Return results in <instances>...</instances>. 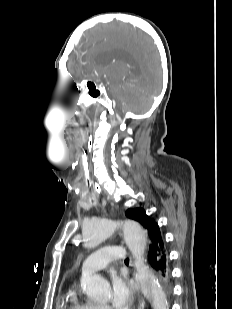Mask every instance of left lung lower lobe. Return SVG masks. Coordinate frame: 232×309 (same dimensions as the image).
Returning <instances> with one entry per match:
<instances>
[{
  "label": "left lung lower lobe",
  "instance_id": "0a47b994",
  "mask_svg": "<svg viewBox=\"0 0 232 309\" xmlns=\"http://www.w3.org/2000/svg\"><path fill=\"white\" fill-rule=\"evenodd\" d=\"M148 236V262L168 289L170 281L169 253L157 223L153 225Z\"/></svg>",
  "mask_w": 232,
  "mask_h": 309
}]
</instances>
